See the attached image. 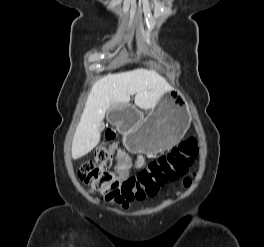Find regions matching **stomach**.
<instances>
[{
	"instance_id": "obj_1",
	"label": "stomach",
	"mask_w": 264,
	"mask_h": 247,
	"mask_svg": "<svg viewBox=\"0 0 264 247\" xmlns=\"http://www.w3.org/2000/svg\"><path fill=\"white\" fill-rule=\"evenodd\" d=\"M181 90H169L162 101L143 117L128 104L113 105L108 120L124 133L125 145L134 152L159 153L175 145L188 121Z\"/></svg>"
}]
</instances>
